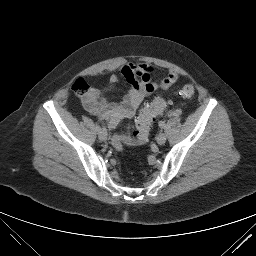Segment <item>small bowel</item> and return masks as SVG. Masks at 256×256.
I'll return each instance as SVG.
<instances>
[{"label": "small bowel", "instance_id": "obj_1", "mask_svg": "<svg viewBox=\"0 0 256 256\" xmlns=\"http://www.w3.org/2000/svg\"><path fill=\"white\" fill-rule=\"evenodd\" d=\"M120 76L126 81L128 90L120 102H111L99 91H92L86 98V106L107 121L110 128H115L121 121L135 115L136 109L144 98L158 89L166 90L179 78L176 73H168L156 80L153 70L145 63H128L121 68ZM120 80L117 75L109 79V87L113 88Z\"/></svg>", "mask_w": 256, "mask_h": 256}]
</instances>
